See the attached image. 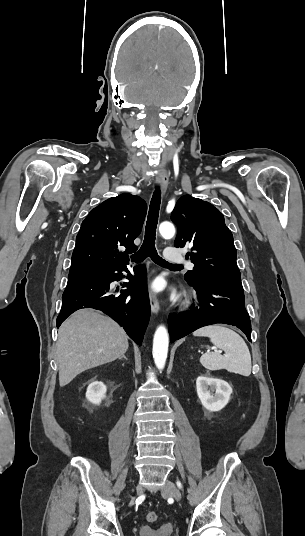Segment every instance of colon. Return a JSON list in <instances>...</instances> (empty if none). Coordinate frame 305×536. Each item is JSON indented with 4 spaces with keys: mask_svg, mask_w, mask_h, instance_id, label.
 <instances>
[{
    "mask_svg": "<svg viewBox=\"0 0 305 536\" xmlns=\"http://www.w3.org/2000/svg\"><path fill=\"white\" fill-rule=\"evenodd\" d=\"M146 518H147V521L153 523L158 520V514L156 512H149Z\"/></svg>",
    "mask_w": 305,
    "mask_h": 536,
    "instance_id": "5ec220e1",
    "label": "colon"
}]
</instances>
